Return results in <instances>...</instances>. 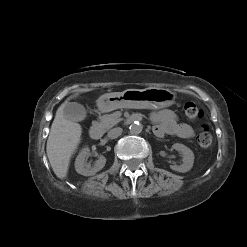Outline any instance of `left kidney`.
<instances>
[{
    "mask_svg": "<svg viewBox=\"0 0 247 247\" xmlns=\"http://www.w3.org/2000/svg\"><path fill=\"white\" fill-rule=\"evenodd\" d=\"M173 149L179 151L183 155V163L181 165H171L170 168L174 171L185 173L191 170L193 167L194 163V153L190 148L187 146L180 144V143H175L172 146Z\"/></svg>",
    "mask_w": 247,
    "mask_h": 247,
    "instance_id": "5707ae66",
    "label": "left kidney"
}]
</instances>
